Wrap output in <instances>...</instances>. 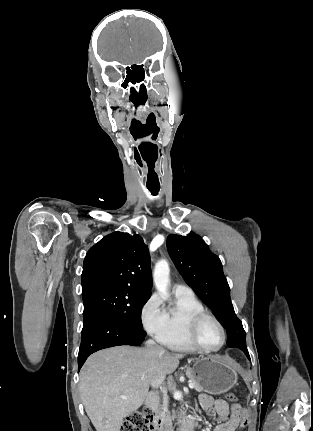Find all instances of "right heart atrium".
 I'll return each instance as SVG.
<instances>
[{
	"label": "right heart atrium",
	"mask_w": 313,
	"mask_h": 431,
	"mask_svg": "<svg viewBox=\"0 0 313 431\" xmlns=\"http://www.w3.org/2000/svg\"><path fill=\"white\" fill-rule=\"evenodd\" d=\"M140 317L143 327L149 334L158 339L163 335L167 326V315L159 295L153 294L148 298L142 307Z\"/></svg>",
	"instance_id": "d8ad5b80"
}]
</instances>
